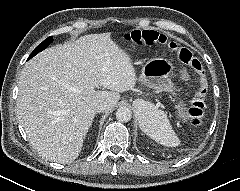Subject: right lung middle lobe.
Returning <instances> with one entry per match:
<instances>
[{
  "label": "right lung middle lobe",
  "mask_w": 240,
  "mask_h": 191,
  "mask_svg": "<svg viewBox=\"0 0 240 191\" xmlns=\"http://www.w3.org/2000/svg\"><path fill=\"white\" fill-rule=\"evenodd\" d=\"M53 41V37H48L47 39H45L40 45H38L34 51L30 54L29 58L34 57L37 53L41 52L42 50H44L51 42Z\"/></svg>",
  "instance_id": "1"
}]
</instances>
